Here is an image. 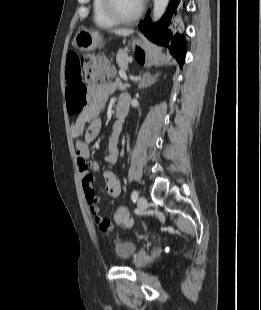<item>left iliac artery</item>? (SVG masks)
<instances>
[{
  "label": "left iliac artery",
  "mask_w": 261,
  "mask_h": 310,
  "mask_svg": "<svg viewBox=\"0 0 261 310\" xmlns=\"http://www.w3.org/2000/svg\"><path fill=\"white\" fill-rule=\"evenodd\" d=\"M137 197H138V192L136 190H134L131 194V199L133 201H136L137 200Z\"/></svg>",
  "instance_id": "44dca946"
}]
</instances>
